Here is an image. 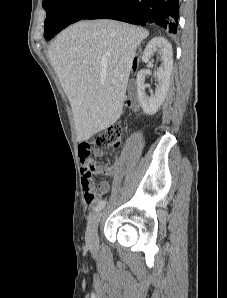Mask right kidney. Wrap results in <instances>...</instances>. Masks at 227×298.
<instances>
[{"label":"right kidney","instance_id":"1","mask_svg":"<svg viewBox=\"0 0 227 298\" xmlns=\"http://www.w3.org/2000/svg\"><path fill=\"white\" fill-rule=\"evenodd\" d=\"M157 55L161 65L155 73L157 77V87L155 93L147 96L145 93V77L147 70H141L137 74V91L139 103L147 115H154L163 103L170 84V75L173 66V52L171 44L163 37L153 38L146 46L142 61L148 63L150 59Z\"/></svg>","mask_w":227,"mask_h":298}]
</instances>
